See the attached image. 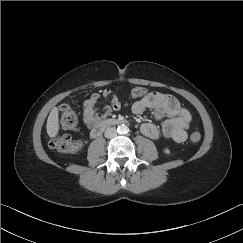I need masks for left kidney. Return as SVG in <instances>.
Here are the masks:
<instances>
[{
  "label": "left kidney",
  "mask_w": 243,
  "mask_h": 243,
  "mask_svg": "<svg viewBox=\"0 0 243 243\" xmlns=\"http://www.w3.org/2000/svg\"><path fill=\"white\" fill-rule=\"evenodd\" d=\"M164 153H165V154H170V150H169L168 148H165V149H164Z\"/></svg>",
  "instance_id": "obj_1"
}]
</instances>
